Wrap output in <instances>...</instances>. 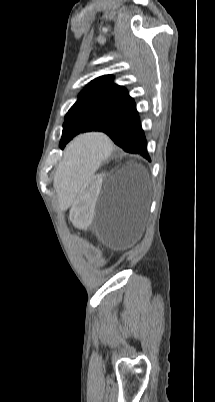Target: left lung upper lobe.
Masks as SVG:
<instances>
[{"label": "left lung upper lobe", "instance_id": "5c2ea615", "mask_svg": "<svg viewBox=\"0 0 215 402\" xmlns=\"http://www.w3.org/2000/svg\"><path fill=\"white\" fill-rule=\"evenodd\" d=\"M112 79L111 75L98 77L79 94L65 116L61 148L77 134L94 131L134 102L127 90Z\"/></svg>", "mask_w": 215, "mask_h": 402}]
</instances>
